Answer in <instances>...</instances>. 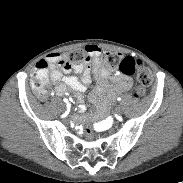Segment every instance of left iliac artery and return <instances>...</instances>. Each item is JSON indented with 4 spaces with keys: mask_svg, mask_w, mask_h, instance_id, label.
<instances>
[{
    "mask_svg": "<svg viewBox=\"0 0 183 183\" xmlns=\"http://www.w3.org/2000/svg\"><path fill=\"white\" fill-rule=\"evenodd\" d=\"M117 100H118V101H121V97H118Z\"/></svg>",
    "mask_w": 183,
    "mask_h": 183,
    "instance_id": "44dca946",
    "label": "left iliac artery"
}]
</instances>
